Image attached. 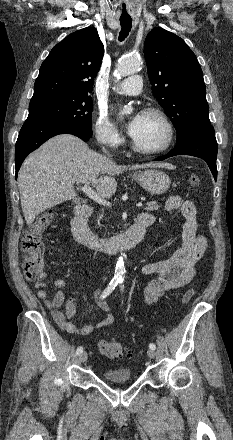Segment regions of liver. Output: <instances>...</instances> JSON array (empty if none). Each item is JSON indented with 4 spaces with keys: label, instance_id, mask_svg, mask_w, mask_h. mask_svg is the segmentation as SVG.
<instances>
[{
    "label": "liver",
    "instance_id": "obj_1",
    "mask_svg": "<svg viewBox=\"0 0 233 440\" xmlns=\"http://www.w3.org/2000/svg\"><path fill=\"white\" fill-rule=\"evenodd\" d=\"M172 167L165 163L132 165L131 169ZM110 158L89 149L71 134L57 135L31 153L18 173V187L26 224L37 215L77 195L75 183H91L98 194L111 197L117 189L114 175L126 171ZM99 175H101L99 177Z\"/></svg>",
    "mask_w": 233,
    "mask_h": 440
}]
</instances>
